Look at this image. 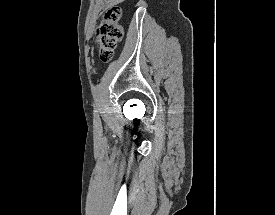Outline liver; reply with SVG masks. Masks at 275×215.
Here are the masks:
<instances>
[{"label":"liver","mask_w":275,"mask_h":215,"mask_svg":"<svg viewBox=\"0 0 275 215\" xmlns=\"http://www.w3.org/2000/svg\"><path fill=\"white\" fill-rule=\"evenodd\" d=\"M124 0H117V2H123Z\"/></svg>","instance_id":"obj_1"}]
</instances>
